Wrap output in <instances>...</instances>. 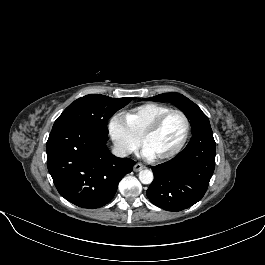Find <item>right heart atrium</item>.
I'll list each match as a JSON object with an SVG mask.
<instances>
[{"instance_id": "d8ad5b80", "label": "right heart atrium", "mask_w": 265, "mask_h": 265, "mask_svg": "<svg viewBox=\"0 0 265 265\" xmlns=\"http://www.w3.org/2000/svg\"><path fill=\"white\" fill-rule=\"evenodd\" d=\"M108 131L117 151L121 154L131 153L140 142V137L130 129L125 119L119 114L110 117Z\"/></svg>"}]
</instances>
